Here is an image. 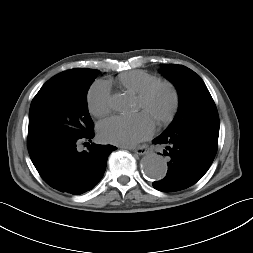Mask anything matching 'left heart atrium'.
I'll return each mask as SVG.
<instances>
[{
  "label": "left heart atrium",
  "mask_w": 253,
  "mask_h": 253,
  "mask_svg": "<svg viewBox=\"0 0 253 253\" xmlns=\"http://www.w3.org/2000/svg\"><path fill=\"white\" fill-rule=\"evenodd\" d=\"M155 130L154 120L146 113L113 116L102 121L98 133L102 140L122 146H132L149 138Z\"/></svg>",
  "instance_id": "obj_1"
}]
</instances>
